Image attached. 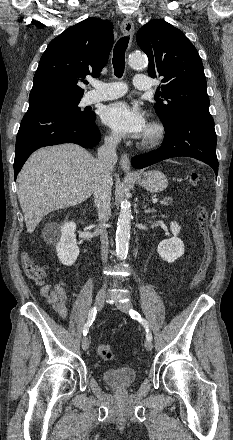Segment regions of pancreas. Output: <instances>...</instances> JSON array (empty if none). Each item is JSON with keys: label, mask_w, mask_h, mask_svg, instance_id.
<instances>
[{"label": "pancreas", "mask_w": 233, "mask_h": 440, "mask_svg": "<svg viewBox=\"0 0 233 440\" xmlns=\"http://www.w3.org/2000/svg\"><path fill=\"white\" fill-rule=\"evenodd\" d=\"M172 201H173V199L170 197V198H167V199L160 201V203L162 205L168 206L170 203H172Z\"/></svg>", "instance_id": "pancreas-1"}]
</instances>
